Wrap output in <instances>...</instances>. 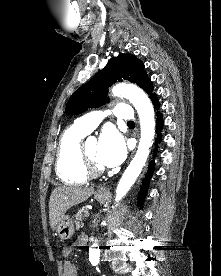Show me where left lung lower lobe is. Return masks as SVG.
I'll return each instance as SVG.
<instances>
[{
	"label": "left lung lower lobe",
	"mask_w": 221,
	"mask_h": 276,
	"mask_svg": "<svg viewBox=\"0 0 221 276\" xmlns=\"http://www.w3.org/2000/svg\"><path fill=\"white\" fill-rule=\"evenodd\" d=\"M151 99L153 101L155 109L159 110L160 103H159L156 95L153 96ZM163 123H164V121H163V118H162V114L157 111L156 132L158 134L157 135L158 138H157L156 142H159L161 140V130H162ZM153 170H154V161H151V163L148 167V172L146 173L145 178L143 180L141 191L139 192V195H138V205L139 206H142V204L144 202V199H145V196H146L147 190H148L149 181H150V178L152 176Z\"/></svg>",
	"instance_id": "obj_1"
}]
</instances>
